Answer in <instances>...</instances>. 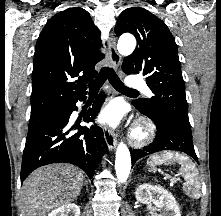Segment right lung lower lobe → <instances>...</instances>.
<instances>
[{
    "label": "right lung lower lobe",
    "instance_id": "obj_1",
    "mask_svg": "<svg viewBox=\"0 0 221 216\" xmlns=\"http://www.w3.org/2000/svg\"><path fill=\"white\" fill-rule=\"evenodd\" d=\"M85 95L56 108L53 118L34 136L26 139L21 166V183L36 168L52 163H71L83 169L91 179L98 162L107 153L102 128L71 126L69 118L77 110L76 102ZM104 94L101 93L84 117L85 122L97 116ZM77 133H73L77 130Z\"/></svg>",
    "mask_w": 221,
    "mask_h": 216
}]
</instances>
